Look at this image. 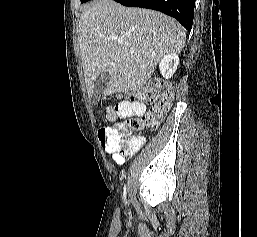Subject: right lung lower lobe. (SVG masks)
<instances>
[{"mask_svg": "<svg viewBox=\"0 0 257 237\" xmlns=\"http://www.w3.org/2000/svg\"><path fill=\"white\" fill-rule=\"evenodd\" d=\"M128 7L153 9L177 19L188 31L193 24L196 0H114Z\"/></svg>", "mask_w": 257, "mask_h": 237, "instance_id": "1", "label": "right lung lower lobe"}]
</instances>
